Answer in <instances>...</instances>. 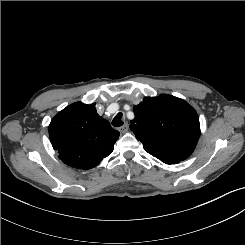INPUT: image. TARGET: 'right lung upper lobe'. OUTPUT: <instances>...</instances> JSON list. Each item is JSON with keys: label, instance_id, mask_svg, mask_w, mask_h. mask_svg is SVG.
Returning a JSON list of instances; mask_svg holds the SVG:
<instances>
[{"label": "right lung upper lobe", "instance_id": "obj_1", "mask_svg": "<svg viewBox=\"0 0 245 245\" xmlns=\"http://www.w3.org/2000/svg\"><path fill=\"white\" fill-rule=\"evenodd\" d=\"M52 146L68 166L88 170L113 151L119 132L100 117L95 103L76 102L60 111L49 125Z\"/></svg>", "mask_w": 245, "mask_h": 245}]
</instances>
